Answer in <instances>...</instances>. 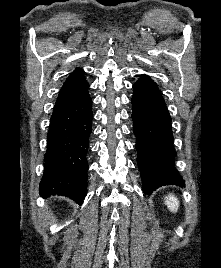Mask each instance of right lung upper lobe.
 <instances>
[{"label":"right lung upper lobe","instance_id":"cb5924a9","mask_svg":"<svg viewBox=\"0 0 221 268\" xmlns=\"http://www.w3.org/2000/svg\"><path fill=\"white\" fill-rule=\"evenodd\" d=\"M88 88L89 84L84 78L83 70L76 68L66 79L56 103H63L77 99L87 93Z\"/></svg>","mask_w":221,"mask_h":268}]
</instances>
